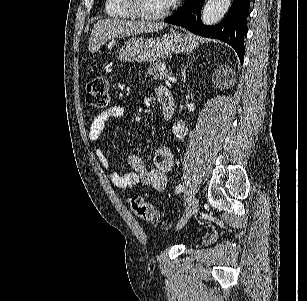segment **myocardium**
<instances>
[{
    "mask_svg": "<svg viewBox=\"0 0 307 301\" xmlns=\"http://www.w3.org/2000/svg\"><path fill=\"white\" fill-rule=\"evenodd\" d=\"M139 0H126L124 8L129 17L136 18L137 22H159L160 18L168 17L173 3H167L160 8V11H140Z\"/></svg>",
    "mask_w": 307,
    "mask_h": 301,
    "instance_id": "obj_1",
    "label": "myocardium"
}]
</instances>
